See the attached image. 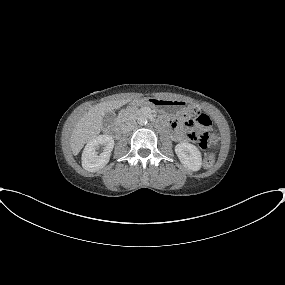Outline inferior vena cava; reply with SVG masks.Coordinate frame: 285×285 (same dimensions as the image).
I'll return each instance as SVG.
<instances>
[{
    "label": "inferior vena cava",
    "mask_w": 285,
    "mask_h": 285,
    "mask_svg": "<svg viewBox=\"0 0 285 285\" xmlns=\"http://www.w3.org/2000/svg\"><path fill=\"white\" fill-rule=\"evenodd\" d=\"M136 127H137V123H136V122H134V121L128 122V123H126V124L123 125V127H122V132H123L124 134H126V133H128V132L134 130Z\"/></svg>",
    "instance_id": "obj_1"
}]
</instances>
